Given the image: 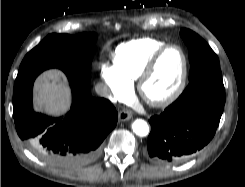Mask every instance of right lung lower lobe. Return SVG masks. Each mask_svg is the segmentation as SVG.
<instances>
[{
  "instance_id": "right-lung-lower-lobe-1",
  "label": "right lung lower lobe",
  "mask_w": 245,
  "mask_h": 187,
  "mask_svg": "<svg viewBox=\"0 0 245 187\" xmlns=\"http://www.w3.org/2000/svg\"><path fill=\"white\" fill-rule=\"evenodd\" d=\"M59 68L67 75L73 103L63 118H50L32 108L35 78L44 70ZM88 69L53 63L20 67L14 83L13 116L19 137L42 160L61 167L77 168L97 158L101 143L116 126L118 113L110 101L94 98Z\"/></svg>"
}]
</instances>
